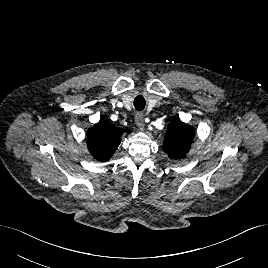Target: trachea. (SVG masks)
<instances>
[{"label":"trachea","mask_w":268,"mask_h":268,"mask_svg":"<svg viewBox=\"0 0 268 268\" xmlns=\"http://www.w3.org/2000/svg\"><path fill=\"white\" fill-rule=\"evenodd\" d=\"M133 103L137 111H142L145 107V100L142 96L136 97Z\"/></svg>","instance_id":"3493384b"}]
</instances>
